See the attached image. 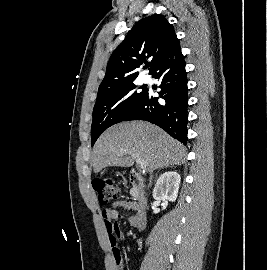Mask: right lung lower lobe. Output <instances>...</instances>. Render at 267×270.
Segmentation results:
<instances>
[{"mask_svg":"<svg viewBox=\"0 0 267 270\" xmlns=\"http://www.w3.org/2000/svg\"><path fill=\"white\" fill-rule=\"evenodd\" d=\"M153 77L161 79V91L158 97H153L148 91L130 111L124 121L145 120L149 121L170 134L183 144L187 142V107L188 88L187 74L185 71L184 56L180 44L174 46L160 61Z\"/></svg>","mask_w":267,"mask_h":270,"instance_id":"right-lung-lower-lobe-1","label":"right lung lower lobe"}]
</instances>
